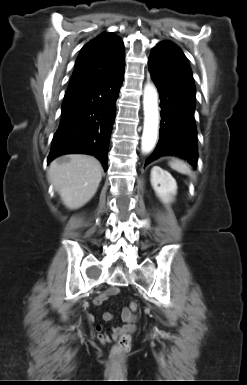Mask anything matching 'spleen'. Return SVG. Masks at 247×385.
I'll return each mask as SVG.
<instances>
[{
    "label": "spleen",
    "mask_w": 247,
    "mask_h": 385,
    "mask_svg": "<svg viewBox=\"0 0 247 385\" xmlns=\"http://www.w3.org/2000/svg\"><path fill=\"white\" fill-rule=\"evenodd\" d=\"M170 167L182 174H191L190 166L182 160L174 159L169 163Z\"/></svg>",
    "instance_id": "spleen-1"
}]
</instances>
